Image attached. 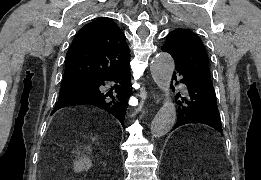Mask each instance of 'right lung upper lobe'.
I'll return each instance as SVG.
<instances>
[{
    "label": "right lung upper lobe",
    "instance_id": "cb5924a9",
    "mask_svg": "<svg viewBox=\"0 0 261 180\" xmlns=\"http://www.w3.org/2000/svg\"><path fill=\"white\" fill-rule=\"evenodd\" d=\"M130 63L125 35L109 18L84 25L66 55L63 81H96Z\"/></svg>",
    "mask_w": 261,
    "mask_h": 180
}]
</instances>
